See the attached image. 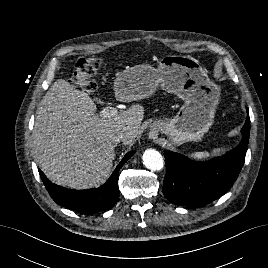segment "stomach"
Instances as JSON below:
<instances>
[{"label": "stomach", "mask_w": 268, "mask_h": 268, "mask_svg": "<svg viewBox=\"0 0 268 268\" xmlns=\"http://www.w3.org/2000/svg\"><path fill=\"white\" fill-rule=\"evenodd\" d=\"M158 87L184 101L176 116L156 120L151 130L167 135L174 145L201 139L213 124L220 89L207 70L190 56L168 55L158 67L140 64L130 67L115 79L114 91L122 101L152 96Z\"/></svg>", "instance_id": "stomach-1"}]
</instances>
